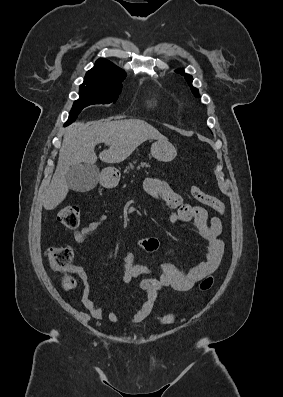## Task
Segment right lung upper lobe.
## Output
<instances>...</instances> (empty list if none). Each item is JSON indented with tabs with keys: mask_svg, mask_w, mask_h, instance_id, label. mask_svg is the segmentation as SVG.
I'll use <instances>...</instances> for the list:
<instances>
[{
	"mask_svg": "<svg viewBox=\"0 0 283 397\" xmlns=\"http://www.w3.org/2000/svg\"><path fill=\"white\" fill-rule=\"evenodd\" d=\"M126 73L108 60L98 59L94 67L86 73V80L123 81Z\"/></svg>",
	"mask_w": 283,
	"mask_h": 397,
	"instance_id": "cb5924a9",
	"label": "right lung upper lobe"
}]
</instances>
